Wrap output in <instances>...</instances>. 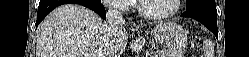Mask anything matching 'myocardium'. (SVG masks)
<instances>
[{"instance_id":"obj_1","label":"myocardium","mask_w":249,"mask_h":57,"mask_svg":"<svg viewBox=\"0 0 249 57\" xmlns=\"http://www.w3.org/2000/svg\"><path fill=\"white\" fill-rule=\"evenodd\" d=\"M174 1H175L174 8L171 11L166 12V13H162V14H152V13H149L146 11V9L144 7V0H138L137 1L138 11H139L140 15L146 19L156 20V21L165 20V19H168V18L172 17L173 15H175L180 9L182 1L181 0H174Z\"/></svg>"}]
</instances>
